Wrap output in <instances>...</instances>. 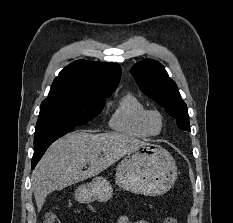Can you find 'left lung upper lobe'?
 I'll use <instances>...</instances> for the list:
<instances>
[{"label": "left lung upper lobe", "instance_id": "1", "mask_svg": "<svg viewBox=\"0 0 233 223\" xmlns=\"http://www.w3.org/2000/svg\"><path fill=\"white\" fill-rule=\"evenodd\" d=\"M141 91L164 107L181 130L190 131L187 106L175 82L157 61L145 59L130 70Z\"/></svg>", "mask_w": 233, "mask_h": 223}]
</instances>
